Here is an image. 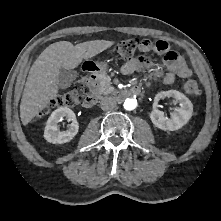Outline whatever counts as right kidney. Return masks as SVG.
<instances>
[{
    "mask_svg": "<svg viewBox=\"0 0 221 221\" xmlns=\"http://www.w3.org/2000/svg\"><path fill=\"white\" fill-rule=\"evenodd\" d=\"M66 117L69 121H72L69 128L64 131L58 130V123ZM79 125L76 121L75 113L67 108L60 107L52 112L48 118L44 130V138L53 144H62L72 140L78 133Z\"/></svg>",
    "mask_w": 221,
    "mask_h": 221,
    "instance_id": "right-kidney-1",
    "label": "right kidney"
}]
</instances>
